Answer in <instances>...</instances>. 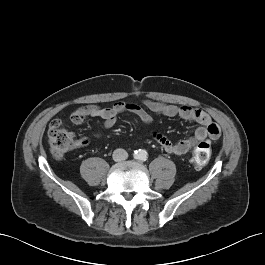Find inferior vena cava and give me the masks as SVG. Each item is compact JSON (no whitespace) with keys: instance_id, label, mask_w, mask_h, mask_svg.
<instances>
[{"instance_id":"obj_1","label":"inferior vena cava","mask_w":265,"mask_h":265,"mask_svg":"<svg viewBox=\"0 0 265 265\" xmlns=\"http://www.w3.org/2000/svg\"><path fill=\"white\" fill-rule=\"evenodd\" d=\"M112 156H113L114 161L119 162V161H123L127 159L128 153L126 152V150L119 148V149L114 150Z\"/></svg>"}]
</instances>
